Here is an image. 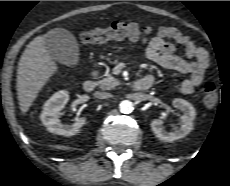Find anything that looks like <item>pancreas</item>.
I'll return each instance as SVG.
<instances>
[{
	"instance_id": "1",
	"label": "pancreas",
	"mask_w": 230,
	"mask_h": 186,
	"mask_svg": "<svg viewBox=\"0 0 230 186\" xmlns=\"http://www.w3.org/2000/svg\"><path fill=\"white\" fill-rule=\"evenodd\" d=\"M97 83L99 85V88L103 91L113 89L120 84V82L112 75H107L105 78L99 80Z\"/></svg>"
}]
</instances>
